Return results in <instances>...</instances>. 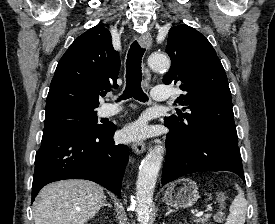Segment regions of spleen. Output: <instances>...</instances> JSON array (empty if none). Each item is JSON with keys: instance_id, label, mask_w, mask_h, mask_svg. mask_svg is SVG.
Returning <instances> with one entry per match:
<instances>
[{"instance_id": "1", "label": "spleen", "mask_w": 275, "mask_h": 224, "mask_svg": "<svg viewBox=\"0 0 275 224\" xmlns=\"http://www.w3.org/2000/svg\"><path fill=\"white\" fill-rule=\"evenodd\" d=\"M235 186L238 191V194L230 205V208H229L230 213L227 217L225 224H244L245 223L247 202H246L243 190L237 184H235Z\"/></svg>"}]
</instances>
